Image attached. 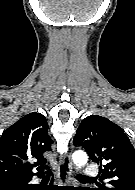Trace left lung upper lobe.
<instances>
[{"label":"left lung upper lobe","instance_id":"left-lung-upper-lobe-1","mask_svg":"<svg viewBox=\"0 0 135 190\" xmlns=\"http://www.w3.org/2000/svg\"><path fill=\"white\" fill-rule=\"evenodd\" d=\"M73 142L100 164V181H105L106 186L97 190H135V149L118 125L105 117L88 116L81 122Z\"/></svg>","mask_w":135,"mask_h":190}]
</instances>
